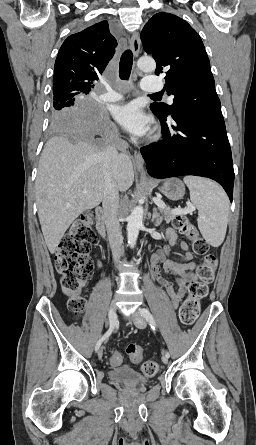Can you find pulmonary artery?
<instances>
[{"mask_svg": "<svg viewBox=\"0 0 256 445\" xmlns=\"http://www.w3.org/2000/svg\"><path fill=\"white\" fill-rule=\"evenodd\" d=\"M141 87L145 92H159L163 88V83L158 77L146 76L142 80ZM122 98L121 95L108 89V92L102 96V99L107 102H116ZM169 101H172L170 98Z\"/></svg>", "mask_w": 256, "mask_h": 445, "instance_id": "1", "label": "pulmonary artery"}]
</instances>
